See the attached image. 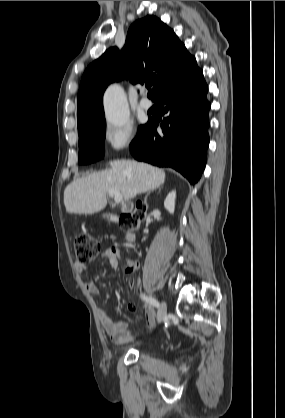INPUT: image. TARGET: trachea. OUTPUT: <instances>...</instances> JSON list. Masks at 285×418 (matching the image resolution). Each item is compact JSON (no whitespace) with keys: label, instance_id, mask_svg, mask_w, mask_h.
Listing matches in <instances>:
<instances>
[{"label":"trachea","instance_id":"obj_1","mask_svg":"<svg viewBox=\"0 0 285 418\" xmlns=\"http://www.w3.org/2000/svg\"><path fill=\"white\" fill-rule=\"evenodd\" d=\"M147 89H150L151 84H146Z\"/></svg>","mask_w":285,"mask_h":418}]
</instances>
